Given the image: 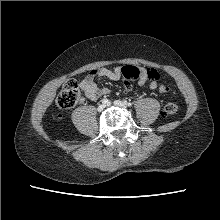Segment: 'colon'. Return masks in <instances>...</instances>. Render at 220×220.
I'll use <instances>...</instances> for the list:
<instances>
[{
    "label": "colon",
    "instance_id": "obj_1",
    "mask_svg": "<svg viewBox=\"0 0 220 220\" xmlns=\"http://www.w3.org/2000/svg\"><path fill=\"white\" fill-rule=\"evenodd\" d=\"M141 72L139 68L135 66H125L121 70L122 79L127 87H129L133 81L138 79ZM148 77L153 80L159 79V73L154 69H148ZM160 93H165L167 87L164 85L158 86ZM81 90L79 84L75 80H68L62 87L60 93L57 96V106L62 110H68L74 107L80 100ZM178 105L175 102H168L164 106V113L166 115H173L177 112Z\"/></svg>",
    "mask_w": 220,
    "mask_h": 220
}]
</instances>
